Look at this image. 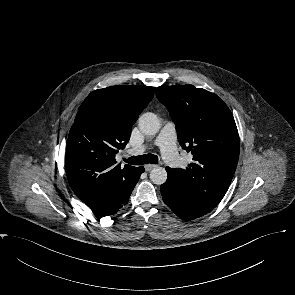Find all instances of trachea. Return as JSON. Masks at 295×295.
<instances>
[{"label":"trachea","mask_w":295,"mask_h":295,"mask_svg":"<svg viewBox=\"0 0 295 295\" xmlns=\"http://www.w3.org/2000/svg\"><path fill=\"white\" fill-rule=\"evenodd\" d=\"M124 161L131 165H142V164H148V163L157 164L158 157L154 154L148 153L147 155L132 156L128 159H124Z\"/></svg>","instance_id":"1"}]
</instances>
